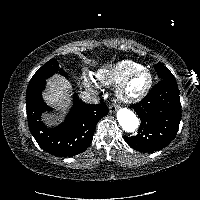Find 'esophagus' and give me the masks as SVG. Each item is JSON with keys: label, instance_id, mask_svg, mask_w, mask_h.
Here are the masks:
<instances>
[{"label": "esophagus", "instance_id": "esophagus-1", "mask_svg": "<svg viewBox=\"0 0 200 200\" xmlns=\"http://www.w3.org/2000/svg\"><path fill=\"white\" fill-rule=\"evenodd\" d=\"M117 110V104L113 103L109 107L110 113H114Z\"/></svg>", "mask_w": 200, "mask_h": 200}]
</instances>
